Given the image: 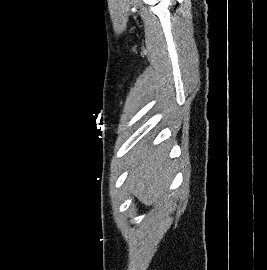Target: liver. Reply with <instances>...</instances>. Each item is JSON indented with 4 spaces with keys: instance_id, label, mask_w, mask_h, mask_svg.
Segmentation results:
<instances>
[{
    "instance_id": "6515ba94",
    "label": "liver",
    "mask_w": 267,
    "mask_h": 270,
    "mask_svg": "<svg viewBox=\"0 0 267 270\" xmlns=\"http://www.w3.org/2000/svg\"><path fill=\"white\" fill-rule=\"evenodd\" d=\"M127 183L130 191L145 205H159L166 199L173 180L174 163L168 159L167 147L149 145L136 148L129 160Z\"/></svg>"
}]
</instances>
